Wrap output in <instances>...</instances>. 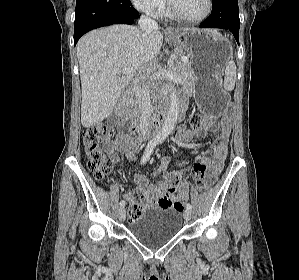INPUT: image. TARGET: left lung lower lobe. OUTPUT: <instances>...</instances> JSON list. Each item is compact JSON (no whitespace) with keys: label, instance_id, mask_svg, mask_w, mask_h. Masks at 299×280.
<instances>
[{"label":"left lung lower lobe","instance_id":"0a47b994","mask_svg":"<svg viewBox=\"0 0 299 280\" xmlns=\"http://www.w3.org/2000/svg\"><path fill=\"white\" fill-rule=\"evenodd\" d=\"M211 15L199 25V28H223L230 30L239 44L238 0H212Z\"/></svg>","mask_w":299,"mask_h":280}]
</instances>
